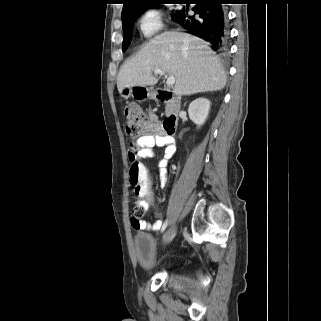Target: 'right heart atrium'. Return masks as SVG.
Wrapping results in <instances>:
<instances>
[{
  "mask_svg": "<svg viewBox=\"0 0 321 321\" xmlns=\"http://www.w3.org/2000/svg\"><path fill=\"white\" fill-rule=\"evenodd\" d=\"M138 26L144 36L157 34L163 28L161 12L156 8L144 10L139 16Z\"/></svg>",
  "mask_w": 321,
  "mask_h": 321,
  "instance_id": "right-heart-atrium-1",
  "label": "right heart atrium"
}]
</instances>
